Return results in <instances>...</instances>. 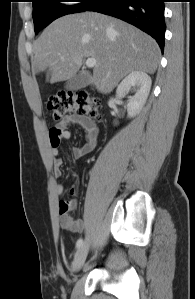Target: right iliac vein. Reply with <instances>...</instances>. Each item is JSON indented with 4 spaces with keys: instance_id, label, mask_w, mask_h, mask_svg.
<instances>
[{
    "instance_id": "1",
    "label": "right iliac vein",
    "mask_w": 195,
    "mask_h": 299,
    "mask_svg": "<svg viewBox=\"0 0 195 299\" xmlns=\"http://www.w3.org/2000/svg\"><path fill=\"white\" fill-rule=\"evenodd\" d=\"M88 251H89V241L86 240L84 243H82V245L79 247V249L75 254L73 264H72L73 272H78L82 268L86 260Z\"/></svg>"
}]
</instances>
